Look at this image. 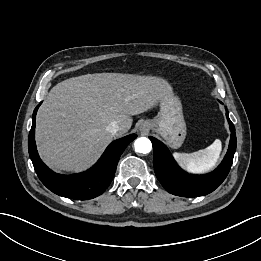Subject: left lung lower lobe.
I'll return each instance as SVG.
<instances>
[{"instance_id": "left-lung-lower-lobe-1", "label": "left lung lower lobe", "mask_w": 261, "mask_h": 261, "mask_svg": "<svg viewBox=\"0 0 261 261\" xmlns=\"http://www.w3.org/2000/svg\"><path fill=\"white\" fill-rule=\"evenodd\" d=\"M231 130L228 151L221 164L206 175H190L174 161L167 147L153 137H149L154 149V171L162 186L171 194L183 197H197L214 191L227 177L236 150L235 127L226 113Z\"/></svg>"}]
</instances>
